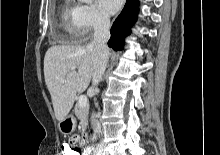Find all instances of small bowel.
<instances>
[{
    "instance_id": "1",
    "label": "small bowel",
    "mask_w": 220,
    "mask_h": 155,
    "mask_svg": "<svg viewBox=\"0 0 220 155\" xmlns=\"http://www.w3.org/2000/svg\"><path fill=\"white\" fill-rule=\"evenodd\" d=\"M85 139H86L85 136H79L78 133H73L72 136H69L68 140L64 141V144L65 145H76V144L88 145L89 141L85 140ZM84 155H86V154H84Z\"/></svg>"
}]
</instances>
